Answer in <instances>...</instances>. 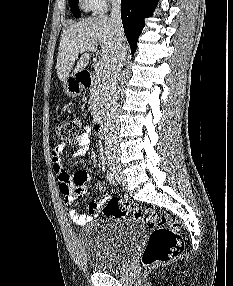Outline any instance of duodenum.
Masks as SVG:
<instances>
[{
  "instance_id": "1",
  "label": "duodenum",
  "mask_w": 233,
  "mask_h": 286,
  "mask_svg": "<svg viewBox=\"0 0 233 286\" xmlns=\"http://www.w3.org/2000/svg\"><path fill=\"white\" fill-rule=\"evenodd\" d=\"M76 80L78 84L84 88H90L94 82V77L89 71H81L77 74ZM96 131L100 136H105L106 134V125L103 119L99 118L95 125Z\"/></svg>"
}]
</instances>
